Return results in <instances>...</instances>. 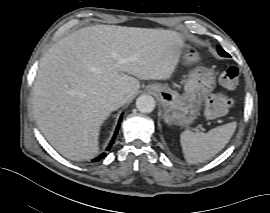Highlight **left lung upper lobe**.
Wrapping results in <instances>:
<instances>
[{"instance_id":"left-lung-upper-lobe-1","label":"left lung upper lobe","mask_w":270,"mask_h":213,"mask_svg":"<svg viewBox=\"0 0 270 213\" xmlns=\"http://www.w3.org/2000/svg\"><path fill=\"white\" fill-rule=\"evenodd\" d=\"M218 53L221 56H224V57H228L229 56V54L227 52H225L220 46H218Z\"/></svg>"}]
</instances>
